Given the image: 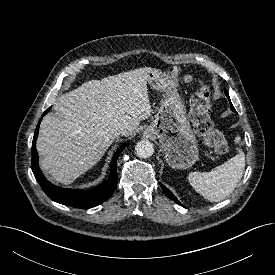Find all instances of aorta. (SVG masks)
<instances>
[{"instance_id":"aorta-1","label":"aorta","mask_w":275,"mask_h":275,"mask_svg":"<svg viewBox=\"0 0 275 275\" xmlns=\"http://www.w3.org/2000/svg\"><path fill=\"white\" fill-rule=\"evenodd\" d=\"M136 154L141 158H148L154 153L153 143L149 140H141L135 146Z\"/></svg>"}]
</instances>
